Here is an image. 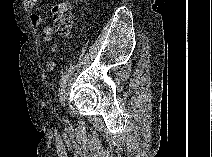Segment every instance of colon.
Wrapping results in <instances>:
<instances>
[{
	"label": "colon",
	"instance_id": "1",
	"mask_svg": "<svg viewBox=\"0 0 212 157\" xmlns=\"http://www.w3.org/2000/svg\"><path fill=\"white\" fill-rule=\"evenodd\" d=\"M52 20L55 31L61 36H67L72 29V13L67 3H57L52 9Z\"/></svg>",
	"mask_w": 212,
	"mask_h": 157
}]
</instances>
